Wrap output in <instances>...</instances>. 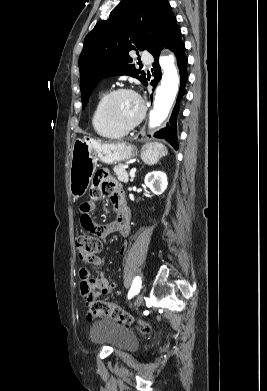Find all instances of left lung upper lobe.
<instances>
[{"mask_svg":"<svg viewBox=\"0 0 267 391\" xmlns=\"http://www.w3.org/2000/svg\"><path fill=\"white\" fill-rule=\"evenodd\" d=\"M176 25L167 0H122L84 40L79 58L83 108L105 77L130 75L145 84V73L135 68L129 52L151 53Z\"/></svg>","mask_w":267,"mask_h":391,"instance_id":"left-lung-upper-lobe-1","label":"left lung upper lobe"}]
</instances>
